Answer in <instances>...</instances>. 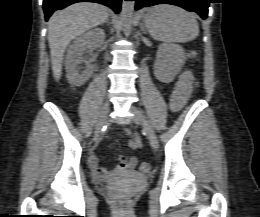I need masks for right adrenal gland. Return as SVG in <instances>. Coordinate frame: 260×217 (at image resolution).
<instances>
[{"mask_svg": "<svg viewBox=\"0 0 260 217\" xmlns=\"http://www.w3.org/2000/svg\"><path fill=\"white\" fill-rule=\"evenodd\" d=\"M109 20H110V19H109V17H108L105 23L110 24V21H109ZM102 25H103V24H102Z\"/></svg>", "mask_w": 260, "mask_h": 217, "instance_id": "2a0ac1e0", "label": "right adrenal gland"}]
</instances>
